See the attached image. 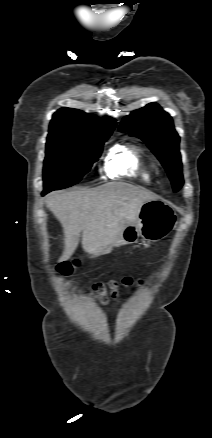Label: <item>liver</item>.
Wrapping results in <instances>:
<instances>
[{
    "mask_svg": "<svg viewBox=\"0 0 212 438\" xmlns=\"http://www.w3.org/2000/svg\"><path fill=\"white\" fill-rule=\"evenodd\" d=\"M155 199L157 195L122 182L49 194L46 206L59 220L64 233V251L59 261L72 256L81 232L85 252L92 257L105 254L125 227L137 219L141 206Z\"/></svg>",
    "mask_w": 212,
    "mask_h": 438,
    "instance_id": "6515ba94",
    "label": "liver"
}]
</instances>
